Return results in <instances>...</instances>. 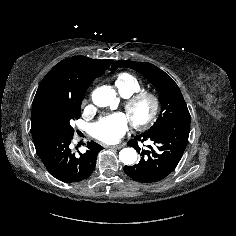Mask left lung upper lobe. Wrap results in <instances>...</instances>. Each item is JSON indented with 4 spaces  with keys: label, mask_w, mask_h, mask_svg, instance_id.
Instances as JSON below:
<instances>
[{
    "label": "left lung upper lobe",
    "mask_w": 236,
    "mask_h": 236,
    "mask_svg": "<svg viewBox=\"0 0 236 236\" xmlns=\"http://www.w3.org/2000/svg\"><path fill=\"white\" fill-rule=\"evenodd\" d=\"M119 67L131 68L139 72L156 87L159 93L160 115L153 127L145 133L157 131L175 120L190 118L179 87L167 73L150 63L134 61H115L111 70H116Z\"/></svg>",
    "instance_id": "left-lung-upper-lobe-1"
}]
</instances>
